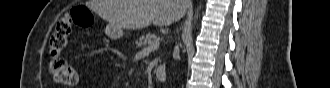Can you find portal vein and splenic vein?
Returning <instances> with one entry per match:
<instances>
[{"mask_svg":"<svg viewBox=\"0 0 330 88\" xmlns=\"http://www.w3.org/2000/svg\"><path fill=\"white\" fill-rule=\"evenodd\" d=\"M158 47H159V41L150 44L148 47L145 48V51H148V52H149V51H153V50L158 49Z\"/></svg>","mask_w":330,"mask_h":88,"instance_id":"18ae733b","label":"portal vein and splenic vein"}]
</instances>
